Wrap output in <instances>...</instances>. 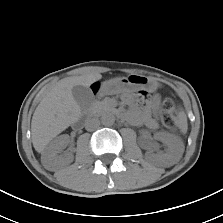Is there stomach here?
<instances>
[{
    "instance_id": "1",
    "label": "stomach",
    "mask_w": 223,
    "mask_h": 223,
    "mask_svg": "<svg viewBox=\"0 0 223 223\" xmlns=\"http://www.w3.org/2000/svg\"><path fill=\"white\" fill-rule=\"evenodd\" d=\"M157 83L143 75L132 74L127 77L118 78L104 82L101 85V92L107 95L125 94L137 90L154 91Z\"/></svg>"
}]
</instances>
